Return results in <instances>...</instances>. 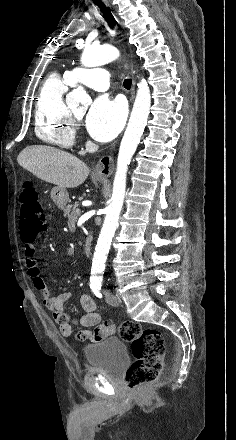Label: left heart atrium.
<instances>
[{
	"label": "left heart atrium",
	"mask_w": 236,
	"mask_h": 440,
	"mask_svg": "<svg viewBox=\"0 0 236 440\" xmlns=\"http://www.w3.org/2000/svg\"><path fill=\"white\" fill-rule=\"evenodd\" d=\"M125 117V107L120 100L100 96L94 100L89 109L86 128L95 140L107 142L120 132Z\"/></svg>",
	"instance_id": "39dd6f15"
}]
</instances>
